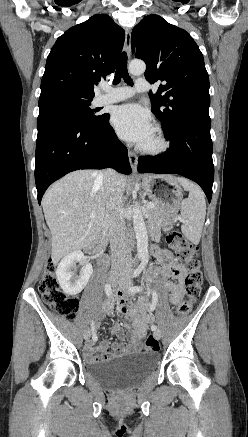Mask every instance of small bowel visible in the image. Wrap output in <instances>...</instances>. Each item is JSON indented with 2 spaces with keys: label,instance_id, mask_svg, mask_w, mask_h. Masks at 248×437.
Instances as JSON below:
<instances>
[{
  "label": "small bowel",
  "instance_id": "small-bowel-1",
  "mask_svg": "<svg viewBox=\"0 0 248 437\" xmlns=\"http://www.w3.org/2000/svg\"><path fill=\"white\" fill-rule=\"evenodd\" d=\"M155 254L162 265L160 270H151L147 274V279L156 276H161L165 288L170 292V300L173 305H178L182 300L183 277L185 275V268L178 262L174 261L172 255L167 250H156ZM114 300L118 301L119 306L127 309V299L122 292H116L111 298L107 299L103 308L105 312H110L113 308ZM148 299L143 297L140 299L137 308L132 311L134 320L132 323L131 339L128 342H118L109 345L107 341H101L97 346L95 341H89L85 346V355L89 361H104L108 360L118 354L125 352H137L141 347V340L146 335L147 326L153 320V316L147 312ZM139 314V316H136ZM111 332L118 339L122 340L124 331L122 327L115 323L111 327Z\"/></svg>",
  "mask_w": 248,
  "mask_h": 437
}]
</instances>
